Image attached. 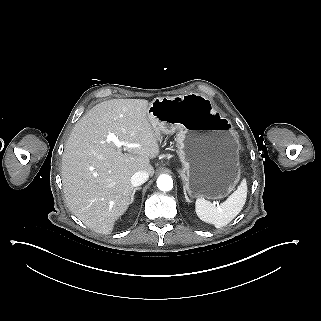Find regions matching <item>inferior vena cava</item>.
<instances>
[{
    "instance_id": "602c4592",
    "label": "inferior vena cava",
    "mask_w": 321,
    "mask_h": 321,
    "mask_svg": "<svg viewBox=\"0 0 321 321\" xmlns=\"http://www.w3.org/2000/svg\"><path fill=\"white\" fill-rule=\"evenodd\" d=\"M149 178V174L146 171H138L131 177V184L133 186H140L145 183Z\"/></svg>"
}]
</instances>
